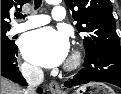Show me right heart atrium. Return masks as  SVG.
<instances>
[{"instance_id": "1", "label": "right heart atrium", "mask_w": 121, "mask_h": 94, "mask_svg": "<svg viewBox=\"0 0 121 94\" xmlns=\"http://www.w3.org/2000/svg\"><path fill=\"white\" fill-rule=\"evenodd\" d=\"M21 71L25 75H35V74H37L38 69L35 66L31 65L30 63H28V62H24L21 65Z\"/></svg>"}]
</instances>
